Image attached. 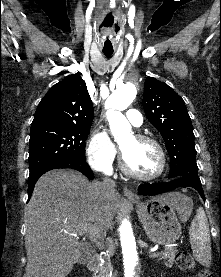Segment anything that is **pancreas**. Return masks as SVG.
<instances>
[{"label":"pancreas","mask_w":221,"mask_h":277,"mask_svg":"<svg viewBox=\"0 0 221 277\" xmlns=\"http://www.w3.org/2000/svg\"><path fill=\"white\" fill-rule=\"evenodd\" d=\"M108 248L110 250H113V244L109 243ZM177 250L174 248H171L170 250L165 251L163 254H161L159 260L163 259L165 262V265L167 267H171L174 263V259L176 257ZM111 262L110 259L107 258L106 262L98 269V275L97 277H111Z\"/></svg>","instance_id":"pancreas-1"}]
</instances>
